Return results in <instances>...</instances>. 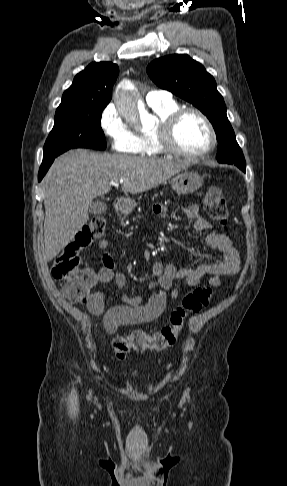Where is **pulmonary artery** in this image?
<instances>
[{
    "instance_id": "obj_1",
    "label": "pulmonary artery",
    "mask_w": 287,
    "mask_h": 486,
    "mask_svg": "<svg viewBox=\"0 0 287 486\" xmlns=\"http://www.w3.org/2000/svg\"><path fill=\"white\" fill-rule=\"evenodd\" d=\"M171 100V94L165 90H151L146 95V101L149 105L169 102Z\"/></svg>"
}]
</instances>
